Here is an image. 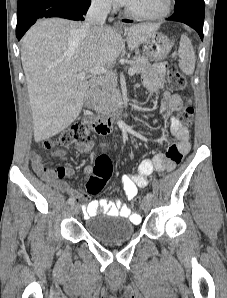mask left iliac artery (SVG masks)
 <instances>
[{
    "mask_svg": "<svg viewBox=\"0 0 227 298\" xmlns=\"http://www.w3.org/2000/svg\"><path fill=\"white\" fill-rule=\"evenodd\" d=\"M146 198L151 199L152 198V194L151 193H147Z\"/></svg>",
    "mask_w": 227,
    "mask_h": 298,
    "instance_id": "left-iliac-artery-1",
    "label": "left iliac artery"
}]
</instances>
